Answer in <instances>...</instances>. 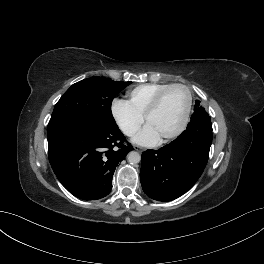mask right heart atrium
I'll return each instance as SVG.
<instances>
[{"label":"right heart atrium","instance_id":"obj_1","mask_svg":"<svg viewBox=\"0 0 264 264\" xmlns=\"http://www.w3.org/2000/svg\"><path fill=\"white\" fill-rule=\"evenodd\" d=\"M111 113L118 128L128 137L133 136L143 123V116L126 100L115 99L111 105Z\"/></svg>","mask_w":264,"mask_h":264}]
</instances>
